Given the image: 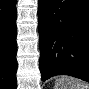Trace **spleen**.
I'll return each instance as SVG.
<instances>
[{
    "label": "spleen",
    "instance_id": "obj_1",
    "mask_svg": "<svg viewBox=\"0 0 89 89\" xmlns=\"http://www.w3.org/2000/svg\"><path fill=\"white\" fill-rule=\"evenodd\" d=\"M89 85L80 79L60 76L56 79L54 89H88Z\"/></svg>",
    "mask_w": 89,
    "mask_h": 89
}]
</instances>
